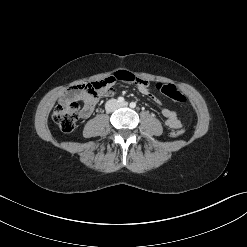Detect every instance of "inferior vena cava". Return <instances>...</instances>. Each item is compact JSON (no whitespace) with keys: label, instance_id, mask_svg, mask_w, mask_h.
I'll use <instances>...</instances> for the list:
<instances>
[{"label":"inferior vena cava","instance_id":"602c4592","mask_svg":"<svg viewBox=\"0 0 247 247\" xmlns=\"http://www.w3.org/2000/svg\"><path fill=\"white\" fill-rule=\"evenodd\" d=\"M113 101H115V100H111V101L107 102V104H106V110H107V111H112V110H113V109L111 108V106H110V103H112Z\"/></svg>","mask_w":247,"mask_h":247}]
</instances>
